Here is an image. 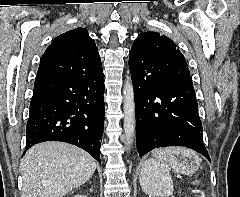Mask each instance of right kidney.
I'll list each match as a JSON object with an SVG mask.
<instances>
[{"mask_svg":"<svg viewBox=\"0 0 240 197\" xmlns=\"http://www.w3.org/2000/svg\"><path fill=\"white\" fill-rule=\"evenodd\" d=\"M73 197H87L86 195H81V194H78V195H75Z\"/></svg>","mask_w":240,"mask_h":197,"instance_id":"obj_1","label":"right kidney"}]
</instances>
